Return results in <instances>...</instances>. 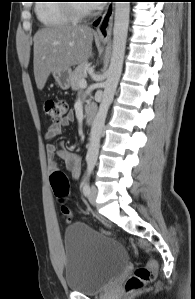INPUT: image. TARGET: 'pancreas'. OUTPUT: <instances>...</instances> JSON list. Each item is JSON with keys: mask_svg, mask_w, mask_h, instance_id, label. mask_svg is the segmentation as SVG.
Wrapping results in <instances>:
<instances>
[{"mask_svg": "<svg viewBox=\"0 0 195 299\" xmlns=\"http://www.w3.org/2000/svg\"><path fill=\"white\" fill-rule=\"evenodd\" d=\"M88 67L89 64L87 62H83L75 68L71 79V87L73 90L79 89V82L87 76Z\"/></svg>", "mask_w": 195, "mask_h": 299, "instance_id": "pancreas-1", "label": "pancreas"}]
</instances>
